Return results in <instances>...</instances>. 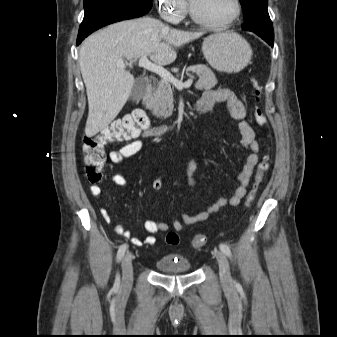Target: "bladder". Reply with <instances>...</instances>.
I'll use <instances>...</instances> for the list:
<instances>
[{
  "label": "bladder",
  "mask_w": 337,
  "mask_h": 337,
  "mask_svg": "<svg viewBox=\"0 0 337 337\" xmlns=\"http://www.w3.org/2000/svg\"><path fill=\"white\" fill-rule=\"evenodd\" d=\"M156 268L161 274L180 275L189 273L191 265L183 256L178 254H165L157 260Z\"/></svg>",
  "instance_id": "obj_1"
}]
</instances>
